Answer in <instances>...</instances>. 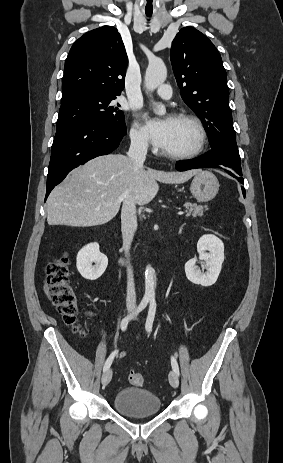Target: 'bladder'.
Segmentation results:
<instances>
[{"label":"bladder","mask_w":283,"mask_h":463,"mask_svg":"<svg viewBox=\"0 0 283 463\" xmlns=\"http://www.w3.org/2000/svg\"><path fill=\"white\" fill-rule=\"evenodd\" d=\"M114 408L130 418L153 416L161 411L160 398L144 389L127 387L119 390L112 400Z\"/></svg>","instance_id":"31cf9c89"}]
</instances>
